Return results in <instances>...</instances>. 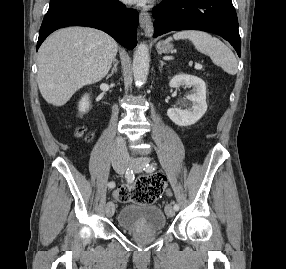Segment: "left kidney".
<instances>
[{
  "mask_svg": "<svg viewBox=\"0 0 286 269\" xmlns=\"http://www.w3.org/2000/svg\"><path fill=\"white\" fill-rule=\"evenodd\" d=\"M192 86V94L187 99L192 102L191 108H169L168 117L178 126H190L196 123L206 112V84L199 77L187 74L174 76L169 83L171 88L180 86Z\"/></svg>",
  "mask_w": 286,
  "mask_h": 269,
  "instance_id": "left-kidney-1",
  "label": "left kidney"
}]
</instances>
